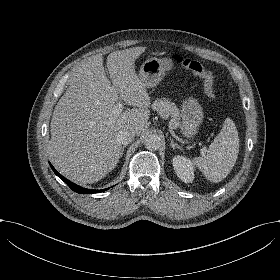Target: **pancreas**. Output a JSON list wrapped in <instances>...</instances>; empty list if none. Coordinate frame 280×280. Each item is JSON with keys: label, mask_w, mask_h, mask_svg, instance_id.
<instances>
[{"label": "pancreas", "mask_w": 280, "mask_h": 280, "mask_svg": "<svg viewBox=\"0 0 280 280\" xmlns=\"http://www.w3.org/2000/svg\"><path fill=\"white\" fill-rule=\"evenodd\" d=\"M152 109L156 111L162 118L171 117L170 125L173 129L180 127V110L167 98H160L153 102Z\"/></svg>", "instance_id": "cf45deb5"}]
</instances>
